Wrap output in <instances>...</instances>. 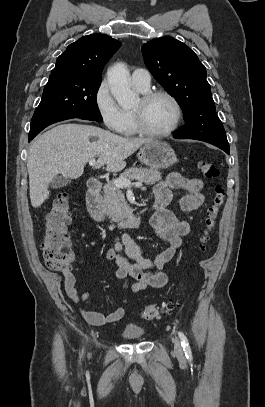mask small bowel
I'll use <instances>...</instances> for the list:
<instances>
[{"label": "small bowel", "instance_id": "small-bowel-1", "mask_svg": "<svg viewBox=\"0 0 265 407\" xmlns=\"http://www.w3.org/2000/svg\"><path fill=\"white\" fill-rule=\"evenodd\" d=\"M202 187L201 179L185 177L177 172L170 173L165 180L155 185V204L150 223L157 237L168 245L155 258L143 257L138 245L128 236H122L120 241L107 251L106 258L116 265L114 275L124 282L127 293H137L147 287L162 288L168 283L164 269L182 247L183 238L189 234L190 226L187 221L176 217L166 206L171 199L172 190H181L184 192L180 201L181 209L185 212L197 210L204 202ZM122 251L135 262L131 263ZM62 276L64 289L69 298L75 303H89L90 293L78 290L75 275L69 270H63ZM81 313L88 324L102 326L121 320L125 309L118 307L109 314L90 310H81Z\"/></svg>", "mask_w": 265, "mask_h": 407}]
</instances>
